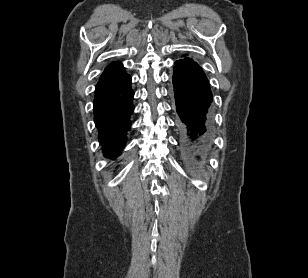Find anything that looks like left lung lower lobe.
I'll return each mask as SVG.
<instances>
[{
	"label": "left lung lower lobe",
	"instance_id": "1",
	"mask_svg": "<svg viewBox=\"0 0 308 278\" xmlns=\"http://www.w3.org/2000/svg\"><path fill=\"white\" fill-rule=\"evenodd\" d=\"M173 85L184 145L198 151L208 140V110L213 100L208 79L190 58L175 62Z\"/></svg>",
	"mask_w": 308,
	"mask_h": 278
}]
</instances>
